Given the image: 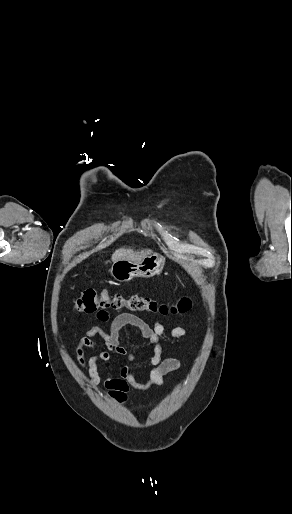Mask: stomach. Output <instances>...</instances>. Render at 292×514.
Returning a JSON list of instances; mask_svg holds the SVG:
<instances>
[{
  "mask_svg": "<svg viewBox=\"0 0 292 514\" xmlns=\"http://www.w3.org/2000/svg\"><path fill=\"white\" fill-rule=\"evenodd\" d=\"M165 258L159 254H147L140 260H117L111 266V276L117 282H129L133 278H153L163 270Z\"/></svg>",
  "mask_w": 292,
  "mask_h": 514,
  "instance_id": "stomach-1",
  "label": "stomach"
}]
</instances>
